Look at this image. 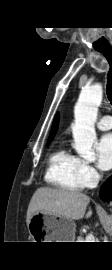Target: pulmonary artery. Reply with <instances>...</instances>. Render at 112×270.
Wrapping results in <instances>:
<instances>
[{"label": "pulmonary artery", "instance_id": "pulmonary-artery-1", "mask_svg": "<svg viewBox=\"0 0 112 270\" xmlns=\"http://www.w3.org/2000/svg\"><path fill=\"white\" fill-rule=\"evenodd\" d=\"M97 127L100 130L112 129V116H104L97 122Z\"/></svg>", "mask_w": 112, "mask_h": 270}]
</instances>
